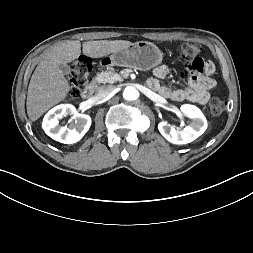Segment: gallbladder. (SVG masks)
<instances>
[{
	"label": "gallbladder",
	"mask_w": 253,
	"mask_h": 253,
	"mask_svg": "<svg viewBox=\"0 0 253 253\" xmlns=\"http://www.w3.org/2000/svg\"><path fill=\"white\" fill-rule=\"evenodd\" d=\"M59 68L65 75L70 73V67L67 64H60Z\"/></svg>",
	"instance_id": "1"
}]
</instances>
